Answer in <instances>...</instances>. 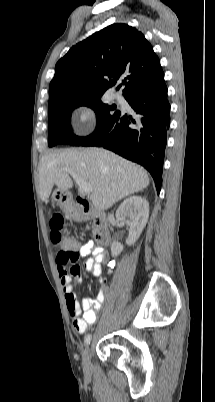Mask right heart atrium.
I'll return each instance as SVG.
<instances>
[{"instance_id": "right-heart-atrium-1", "label": "right heart atrium", "mask_w": 215, "mask_h": 402, "mask_svg": "<svg viewBox=\"0 0 215 402\" xmlns=\"http://www.w3.org/2000/svg\"><path fill=\"white\" fill-rule=\"evenodd\" d=\"M95 122V114L93 110L88 107H78L74 112L75 130L79 134H86L89 132Z\"/></svg>"}]
</instances>
